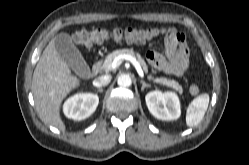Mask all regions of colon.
<instances>
[{
	"label": "colon",
	"mask_w": 249,
	"mask_h": 165,
	"mask_svg": "<svg viewBox=\"0 0 249 165\" xmlns=\"http://www.w3.org/2000/svg\"><path fill=\"white\" fill-rule=\"evenodd\" d=\"M164 33H166L165 29L158 28H115L113 30L97 28L92 30L76 31L73 34V40L75 43L85 47L91 46L93 43H102L107 40L115 42L126 41L129 43H141ZM179 36L181 41L184 42V35L180 33ZM190 91L192 94H197V85L192 84Z\"/></svg>",
	"instance_id": "colon-1"
}]
</instances>
